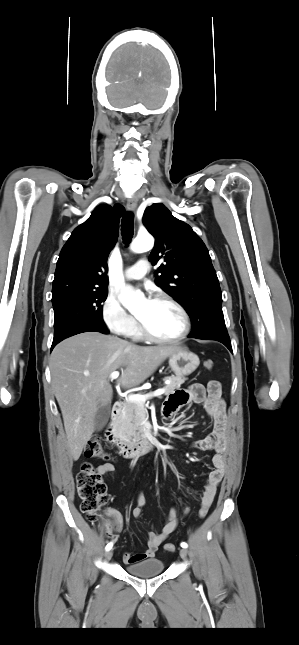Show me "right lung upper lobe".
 <instances>
[{"label": "right lung upper lobe", "instance_id": "cb5924a9", "mask_svg": "<svg viewBox=\"0 0 299 645\" xmlns=\"http://www.w3.org/2000/svg\"><path fill=\"white\" fill-rule=\"evenodd\" d=\"M124 208L99 205L63 246L52 288V298L65 291L107 289V258L113 249Z\"/></svg>", "mask_w": 299, "mask_h": 645}]
</instances>
